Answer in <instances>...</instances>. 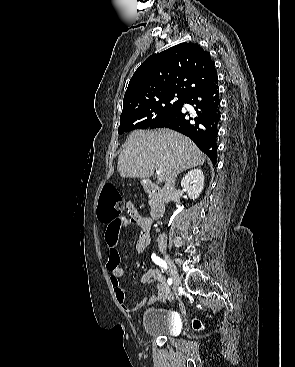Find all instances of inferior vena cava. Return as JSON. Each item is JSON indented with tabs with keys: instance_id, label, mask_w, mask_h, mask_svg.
<instances>
[{
	"instance_id": "obj_1",
	"label": "inferior vena cava",
	"mask_w": 295,
	"mask_h": 367,
	"mask_svg": "<svg viewBox=\"0 0 295 367\" xmlns=\"http://www.w3.org/2000/svg\"><path fill=\"white\" fill-rule=\"evenodd\" d=\"M174 185L175 176H172L168 181H166L163 187V200L167 203L171 200L174 193ZM157 241L159 246H165L167 242L165 234L160 235Z\"/></svg>"
}]
</instances>
